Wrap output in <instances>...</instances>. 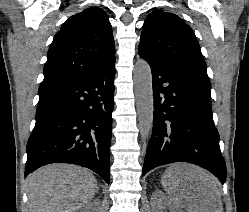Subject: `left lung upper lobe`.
I'll return each instance as SVG.
<instances>
[{"label":"left lung upper lobe","mask_w":249,"mask_h":212,"mask_svg":"<svg viewBox=\"0 0 249 212\" xmlns=\"http://www.w3.org/2000/svg\"><path fill=\"white\" fill-rule=\"evenodd\" d=\"M140 40L141 57L209 80L197 38L177 15L162 10L150 13Z\"/></svg>","instance_id":"5c2ea615"}]
</instances>
